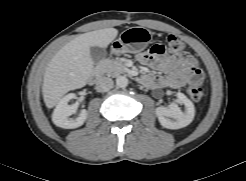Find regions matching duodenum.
<instances>
[{"mask_svg":"<svg viewBox=\"0 0 246 181\" xmlns=\"http://www.w3.org/2000/svg\"><path fill=\"white\" fill-rule=\"evenodd\" d=\"M101 71L100 69H95L89 76V82L91 84H97L100 82L101 80ZM138 81L143 83V76L142 77H138Z\"/></svg>","mask_w":246,"mask_h":181,"instance_id":"duodenum-1","label":"duodenum"}]
</instances>
